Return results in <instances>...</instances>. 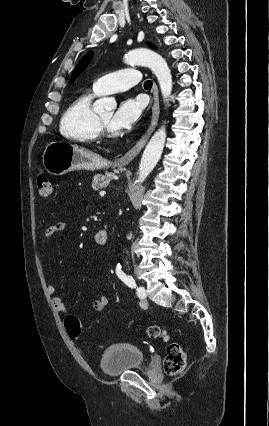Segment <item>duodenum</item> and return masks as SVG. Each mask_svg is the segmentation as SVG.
<instances>
[{"label":"duodenum","mask_w":269,"mask_h":426,"mask_svg":"<svg viewBox=\"0 0 269 426\" xmlns=\"http://www.w3.org/2000/svg\"><path fill=\"white\" fill-rule=\"evenodd\" d=\"M109 239V232L106 229H102L95 235V241L99 245L107 244Z\"/></svg>","instance_id":"410a0bca"}]
</instances>
